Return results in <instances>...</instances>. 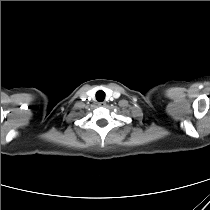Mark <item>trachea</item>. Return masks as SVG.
<instances>
[{"label": "trachea", "instance_id": "3493384b", "mask_svg": "<svg viewBox=\"0 0 210 210\" xmlns=\"http://www.w3.org/2000/svg\"><path fill=\"white\" fill-rule=\"evenodd\" d=\"M96 99H97L99 102H102V101L105 99V92L102 91V90H99V91L96 93Z\"/></svg>", "mask_w": 210, "mask_h": 210}]
</instances>
